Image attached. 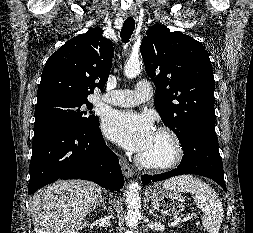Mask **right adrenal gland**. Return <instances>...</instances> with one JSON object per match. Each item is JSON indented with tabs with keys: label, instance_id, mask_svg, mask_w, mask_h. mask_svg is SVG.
I'll list each match as a JSON object with an SVG mask.
<instances>
[{
	"label": "right adrenal gland",
	"instance_id": "1",
	"mask_svg": "<svg viewBox=\"0 0 253 233\" xmlns=\"http://www.w3.org/2000/svg\"><path fill=\"white\" fill-rule=\"evenodd\" d=\"M100 203H102L104 206H105V202H104V198L103 196L101 195L98 200L95 202L93 208L96 209L97 205H99Z\"/></svg>",
	"mask_w": 253,
	"mask_h": 233
}]
</instances>
